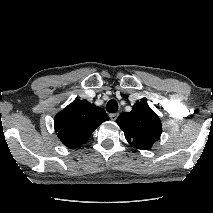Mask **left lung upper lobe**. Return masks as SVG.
<instances>
[{"mask_svg":"<svg viewBox=\"0 0 213 213\" xmlns=\"http://www.w3.org/2000/svg\"><path fill=\"white\" fill-rule=\"evenodd\" d=\"M126 140L137 149L149 150L162 133L161 121L145 102H137L130 112L117 118Z\"/></svg>","mask_w":213,"mask_h":213,"instance_id":"obj_1","label":"left lung upper lobe"}]
</instances>
